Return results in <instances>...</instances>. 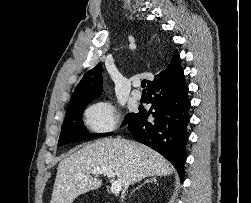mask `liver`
Instances as JSON below:
<instances>
[{
  "mask_svg": "<svg viewBox=\"0 0 251 203\" xmlns=\"http://www.w3.org/2000/svg\"><path fill=\"white\" fill-rule=\"evenodd\" d=\"M101 167L111 168L123 189L149 176L173 173L166 159L145 145L119 138L99 139L61 160L50 203H72L79 195L98 189L102 182L90 173Z\"/></svg>",
  "mask_w": 251,
  "mask_h": 203,
  "instance_id": "6515ba94",
  "label": "liver"
}]
</instances>
